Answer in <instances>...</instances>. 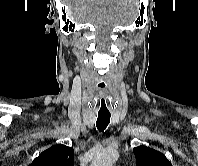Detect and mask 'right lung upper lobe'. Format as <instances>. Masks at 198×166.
Masks as SVG:
<instances>
[{"label": "right lung upper lobe", "mask_w": 198, "mask_h": 166, "mask_svg": "<svg viewBox=\"0 0 198 166\" xmlns=\"http://www.w3.org/2000/svg\"><path fill=\"white\" fill-rule=\"evenodd\" d=\"M30 166H74V149L63 144L42 152Z\"/></svg>", "instance_id": "obj_1"}]
</instances>
